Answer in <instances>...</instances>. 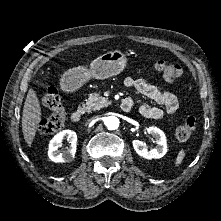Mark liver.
Masks as SVG:
<instances>
[{
  "mask_svg": "<svg viewBox=\"0 0 221 221\" xmlns=\"http://www.w3.org/2000/svg\"><path fill=\"white\" fill-rule=\"evenodd\" d=\"M41 106L36 92L29 89L22 114V132L28 146L32 145L37 128L41 121Z\"/></svg>",
  "mask_w": 221,
  "mask_h": 221,
  "instance_id": "liver-1",
  "label": "liver"
}]
</instances>
